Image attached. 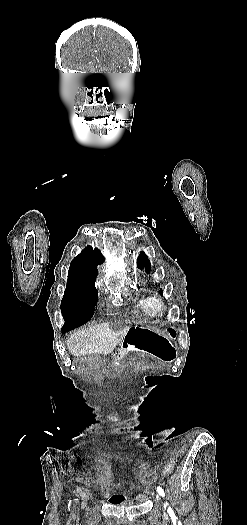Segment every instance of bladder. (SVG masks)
Instances as JSON below:
<instances>
[{
  "label": "bladder",
  "mask_w": 247,
  "mask_h": 525,
  "mask_svg": "<svg viewBox=\"0 0 247 525\" xmlns=\"http://www.w3.org/2000/svg\"><path fill=\"white\" fill-rule=\"evenodd\" d=\"M132 503H133V501H129V502L126 503V505H131ZM116 504L122 505L123 503H116Z\"/></svg>",
  "instance_id": "1"
}]
</instances>
